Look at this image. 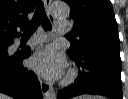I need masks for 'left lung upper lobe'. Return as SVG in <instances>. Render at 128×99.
Here are the masks:
<instances>
[{
    "label": "left lung upper lobe",
    "instance_id": "left-lung-upper-lobe-1",
    "mask_svg": "<svg viewBox=\"0 0 128 99\" xmlns=\"http://www.w3.org/2000/svg\"><path fill=\"white\" fill-rule=\"evenodd\" d=\"M74 20L71 40L67 50L70 56H78L87 48L98 44L120 46L117 22L109 0H65Z\"/></svg>",
    "mask_w": 128,
    "mask_h": 99
}]
</instances>
